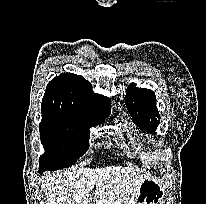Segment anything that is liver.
Returning a JSON list of instances; mask_svg holds the SVG:
<instances>
[{
	"mask_svg": "<svg viewBox=\"0 0 206 204\" xmlns=\"http://www.w3.org/2000/svg\"><path fill=\"white\" fill-rule=\"evenodd\" d=\"M41 187L47 204H92L94 186L96 204H134L141 183L148 178L133 167L72 168L46 175Z\"/></svg>",
	"mask_w": 206,
	"mask_h": 204,
	"instance_id": "liver-1",
	"label": "liver"
}]
</instances>
